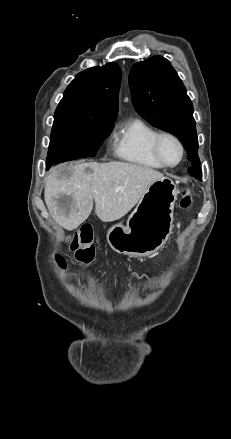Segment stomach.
I'll use <instances>...</instances> for the list:
<instances>
[{
  "mask_svg": "<svg viewBox=\"0 0 231 439\" xmlns=\"http://www.w3.org/2000/svg\"><path fill=\"white\" fill-rule=\"evenodd\" d=\"M179 190L173 180L163 177L152 183L129 216L127 225L116 224L107 233V242L119 254L147 257L168 240L173 228V211Z\"/></svg>",
  "mask_w": 231,
  "mask_h": 439,
  "instance_id": "0dacf381",
  "label": "stomach"
}]
</instances>
